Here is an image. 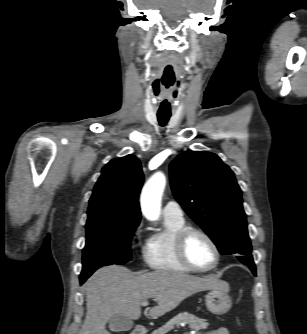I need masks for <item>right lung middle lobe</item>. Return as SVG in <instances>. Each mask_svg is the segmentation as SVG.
<instances>
[{"instance_id":"1","label":"right lung middle lobe","mask_w":307,"mask_h":334,"mask_svg":"<svg viewBox=\"0 0 307 334\" xmlns=\"http://www.w3.org/2000/svg\"><path fill=\"white\" fill-rule=\"evenodd\" d=\"M139 223L97 220L86 223L87 239L83 249L80 280L85 281L103 265L130 261V243Z\"/></svg>"}]
</instances>
